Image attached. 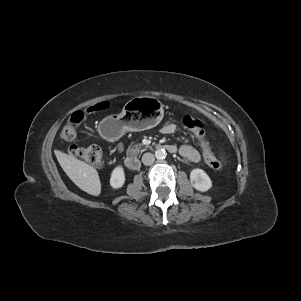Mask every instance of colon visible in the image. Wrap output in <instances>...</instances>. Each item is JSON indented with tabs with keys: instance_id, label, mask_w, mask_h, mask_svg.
I'll list each match as a JSON object with an SVG mask.
<instances>
[{
	"instance_id": "colon-1",
	"label": "colon",
	"mask_w": 301,
	"mask_h": 301,
	"mask_svg": "<svg viewBox=\"0 0 301 301\" xmlns=\"http://www.w3.org/2000/svg\"><path fill=\"white\" fill-rule=\"evenodd\" d=\"M109 107L108 102H99L86 109V111H76L71 114L61 131V137L67 141L74 143L77 140V128L85 119L86 114L95 113L105 110ZM162 112L170 118L176 117V112L168 106L162 107ZM183 125L189 129L197 139V144L201 148L204 161L213 169L222 168V163L213 155L205 138V131L202 122L192 116H185L182 119ZM69 153L78 157L95 168H100L105 164V156L102 148L98 145L78 146L72 144L69 147Z\"/></svg>"
}]
</instances>
